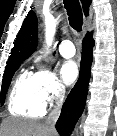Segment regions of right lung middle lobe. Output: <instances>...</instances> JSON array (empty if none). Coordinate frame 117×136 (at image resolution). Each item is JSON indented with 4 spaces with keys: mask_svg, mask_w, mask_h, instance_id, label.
<instances>
[{
    "mask_svg": "<svg viewBox=\"0 0 117 136\" xmlns=\"http://www.w3.org/2000/svg\"><path fill=\"white\" fill-rule=\"evenodd\" d=\"M24 60L25 59L8 61L6 70L4 72L3 83L1 88V104H4L5 96L15 71L19 68L21 62Z\"/></svg>",
    "mask_w": 117,
    "mask_h": 136,
    "instance_id": "obj_1",
    "label": "right lung middle lobe"
}]
</instances>
